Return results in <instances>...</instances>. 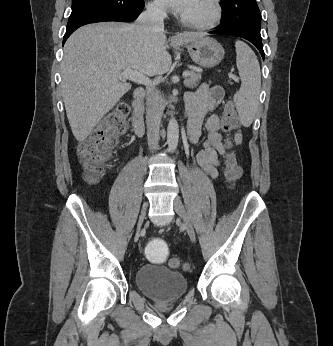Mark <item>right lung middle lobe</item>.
Masks as SVG:
<instances>
[{"label":"right lung middle lobe","mask_w":333,"mask_h":346,"mask_svg":"<svg viewBox=\"0 0 333 346\" xmlns=\"http://www.w3.org/2000/svg\"><path fill=\"white\" fill-rule=\"evenodd\" d=\"M141 0H72L69 20L92 11L127 12L135 8Z\"/></svg>","instance_id":"obj_1"}]
</instances>
